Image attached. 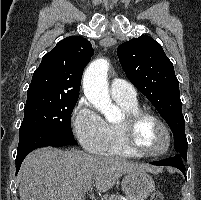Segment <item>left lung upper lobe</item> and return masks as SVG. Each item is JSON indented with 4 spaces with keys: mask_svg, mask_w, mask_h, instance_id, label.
I'll use <instances>...</instances> for the list:
<instances>
[{
    "mask_svg": "<svg viewBox=\"0 0 201 200\" xmlns=\"http://www.w3.org/2000/svg\"><path fill=\"white\" fill-rule=\"evenodd\" d=\"M117 55L127 78L150 100L169 125L174 135L175 150L183 157L187 156L188 142L179 82L162 46L150 36L142 35L121 44Z\"/></svg>",
    "mask_w": 201,
    "mask_h": 200,
    "instance_id": "obj_1",
    "label": "left lung upper lobe"
}]
</instances>
